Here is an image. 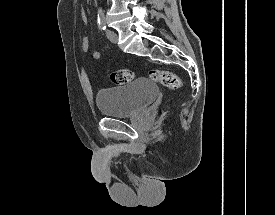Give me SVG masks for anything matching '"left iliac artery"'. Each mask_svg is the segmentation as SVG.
Wrapping results in <instances>:
<instances>
[{"label": "left iliac artery", "instance_id": "1", "mask_svg": "<svg viewBox=\"0 0 275 215\" xmlns=\"http://www.w3.org/2000/svg\"><path fill=\"white\" fill-rule=\"evenodd\" d=\"M98 24L101 30L106 29L105 16H104V11L102 9H99L98 11Z\"/></svg>", "mask_w": 275, "mask_h": 215}]
</instances>
